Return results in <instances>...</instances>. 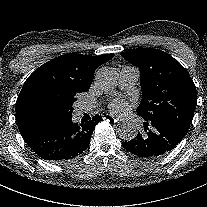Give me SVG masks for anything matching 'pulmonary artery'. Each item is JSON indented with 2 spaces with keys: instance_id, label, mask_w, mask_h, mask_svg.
Wrapping results in <instances>:
<instances>
[{
  "instance_id": "pulmonary-artery-1",
  "label": "pulmonary artery",
  "mask_w": 207,
  "mask_h": 207,
  "mask_svg": "<svg viewBox=\"0 0 207 207\" xmlns=\"http://www.w3.org/2000/svg\"><path fill=\"white\" fill-rule=\"evenodd\" d=\"M139 78V72L133 67H123L120 71V85L122 88H130L133 86ZM90 106H85V111H90Z\"/></svg>"
}]
</instances>
